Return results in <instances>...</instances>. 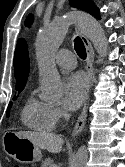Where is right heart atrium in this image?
I'll return each mask as SVG.
<instances>
[{
	"label": "right heart atrium",
	"instance_id": "d8ad5b80",
	"mask_svg": "<svg viewBox=\"0 0 125 167\" xmlns=\"http://www.w3.org/2000/svg\"><path fill=\"white\" fill-rule=\"evenodd\" d=\"M53 118L58 122L62 118V112L58 107H51Z\"/></svg>",
	"mask_w": 125,
	"mask_h": 167
}]
</instances>
